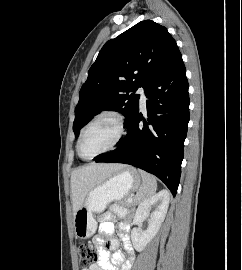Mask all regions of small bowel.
<instances>
[{
  "label": "small bowel",
  "instance_id": "small-bowel-1",
  "mask_svg": "<svg viewBox=\"0 0 242 270\" xmlns=\"http://www.w3.org/2000/svg\"><path fill=\"white\" fill-rule=\"evenodd\" d=\"M117 216L123 219L119 223V236L127 252L131 253L129 232L132 216L126 210L115 207L101 219L99 234L92 240L98 252V260L83 270H118L119 265L125 261L126 256L118 251L119 238L114 235V221ZM124 267L129 268V262L125 263Z\"/></svg>",
  "mask_w": 242,
  "mask_h": 270
}]
</instances>
